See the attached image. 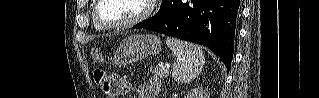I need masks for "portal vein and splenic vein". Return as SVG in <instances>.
<instances>
[{
	"label": "portal vein and splenic vein",
	"mask_w": 319,
	"mask_h": 98,
	"mask_svg": "<svg viewBox=\"0 0 319 98\" xmlns=\"http://www.w3.org/2000/svg\"><path fill=\"white\" fill-rule=\"evenodd\" d=\"M163 70H168L170 68V65L169 64H165V65H161Z\"/></svg>",
	"instance_id": "portal-vein-and-splenic-vein-1"
}]
</instances>
